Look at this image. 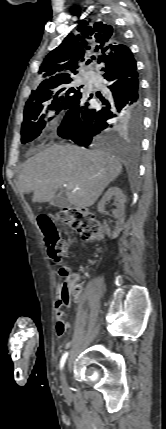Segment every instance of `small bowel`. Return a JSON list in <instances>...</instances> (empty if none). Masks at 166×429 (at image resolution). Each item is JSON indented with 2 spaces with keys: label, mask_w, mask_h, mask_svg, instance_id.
Returning <instances> with one entry per match:
<instances>
[{
  "label": "small bowel",
  "mask_w": 166,
  "mask_h": 429,
  "mask_svg": "<svg viewBox=\"0 0 166 429\" xmlns=\"http://www.w3.org/2000/svg\"><path fill=\"white\" fill-rule=\"evenodd\" d=\"M58 276L62 278H68L74 281V277L71 275V269L69 266H62L58 271ZM70 306L69 293H66L63 289V285H58V292L56 296L55 309H56V334L58 337H62L69 327V323L64 319V309Z\"/></svg>",
  "instance_id": "obj_1"
}]
</instances>
